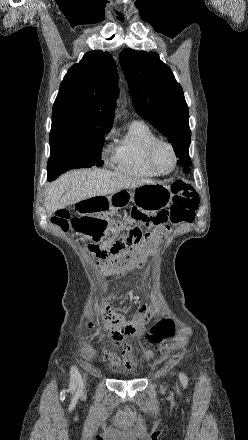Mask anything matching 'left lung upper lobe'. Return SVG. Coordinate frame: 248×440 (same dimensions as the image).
<instances>
[{
    "label": "left lung upper lobe",
    "instance_id": "left-lung-upper-lobe-1",
    "mask_svg": "<svg viewBox=\"0 0 248 440\" xmlns=\"http://www.w3.org/2000/svg\"><path fill=\"white\" fill-rule=\"evenodd\" d=\"M119 60L136 112L167 137L178 163L190 166L188 106L170 67L157 53L130 48L121 51Z\"/></svg>",
    "mask_w": 248,
    "mask_h": 440
}]
</instances>
